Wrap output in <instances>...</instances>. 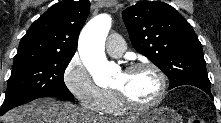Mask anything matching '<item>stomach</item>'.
Wrapping results in <instances>:
<instances>
[{"mask_svg":"<svg viewBox=\"0 0 221 123\" xmlns=\"http://www.w3.org/2000/svg\"><path fill=\"white\" fill-rule=\"evenodd\" d=\"M132 123H182V119L172 108L161 106L136 115Z\"/></svg>","mask_w":221,"mask_h":123,"instance_id":"stomach-1","label":"stomach"}]
</instances>
